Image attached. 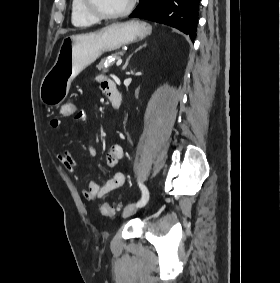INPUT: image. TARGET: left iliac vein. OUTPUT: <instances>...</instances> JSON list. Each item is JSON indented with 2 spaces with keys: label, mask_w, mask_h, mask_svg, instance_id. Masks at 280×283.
<instances>
[{
  "label": "left iliac vein",
  "mask_w": 280,
  "mask_h": 283,
  "mask_svg": "<svg viewBox=\"0 0 280 283\" xmlns=\"http://www.w3.org/2000/svg\"><path fill=\"white\" fill-rule=\"evenodd\" d=\"M138 209V206L134 203H131L129 205H127L122 212V216L123 218H127L131 215H133Z\"/></svg>",
  "instance_id": "obj_1"
}]
</instances>
